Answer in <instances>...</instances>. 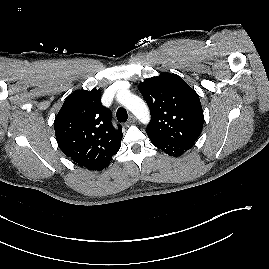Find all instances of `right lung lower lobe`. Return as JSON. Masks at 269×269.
Masks as SVG:
<instances>
[{"label":"right lung lower lobe","mask_w":269,"mask_h":269,"mask_svg":"<svg viewBox=\"0 0 269 269\" xmlns=\"http://www.w3.org/2000/svg\"><path fill=\"white\" fill-rule=\"evenodd\" d=\"M109 163H110V161L105 163L104 165H101V166L95 168L94 170H96V171L103 170L104 168L108 167Z\"/></svg>","instance_id":"obj_1"}]
</instances>
